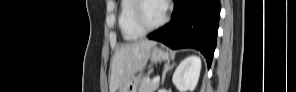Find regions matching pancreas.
<instances>
[{
  "label": "pancreas",
  "mask_w": 296,
  "mask_h": 92,
  "mask_svg": "<svg viewBox=\"0 0 296 92\" xmlns=\"http://www.w3.org/2000/svg\"><path fill=\"white\" fill-rule=\"evenodd\" d=\"M159 87L158 83H153L148 77L142 79L139 92H155V90Z\"/></svg>",
  "instance_id": "cf45deb5"
}]
</instances>
